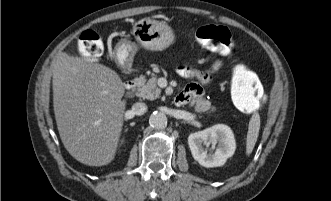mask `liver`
<instances>
[{
    "mask_svg": "<svg viewBox=\"0 0 331 201\" xmlns=\"http://www.w3.org/2000/svg\"><path fill=\"white\" fill-rule=\"evenodd\" d=\"M53 106L61 141L80 163L104 166L115 157L126 101L119 75L102 64L57 54Z\"/></svg>",
    "mask_w": 331,
    "mask_h": 201,
    "instance_id": "1",
    "label": "liver"
}]
</instances>
